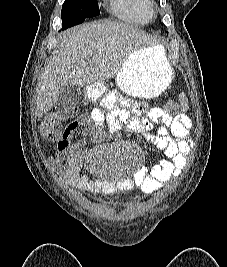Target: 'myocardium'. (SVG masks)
<instances>
[{"label": "myocardium", "instance_id": "obj_1", "mask_svg": "<svg viewBox=\"0 0 227 267\" xmlns=\"http://www.w3.org/2000/svg\"><path fill=\"white\" fill-rule=\"evenodd\" d=\"M154 14V9L152 8V6L150 5V15Z\"/></svg>", "mask_w": 227, "mask_h": 267}]
</instances>
